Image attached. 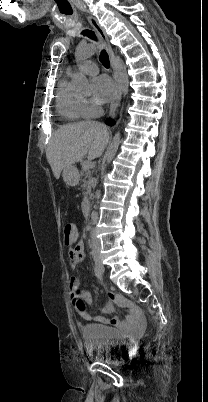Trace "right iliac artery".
<instances>
[{
    "instance_id": "obj_1",
    "label": "right iliac artery",
    "mask_w": 208,
    "mask_h": 402,
    "mask_svg": "<svg viewBox=\"0 0 208 402\" xmlns=\"http://www.w3.org/2000/svg\"><path fill=\"white\" fill-rule=\"evenodd\" d=\"M94 273H95V276H96L99 280H102L101 271H100V269H99L96 265L94 266Z\"/></svg>"
}]
</instances>
